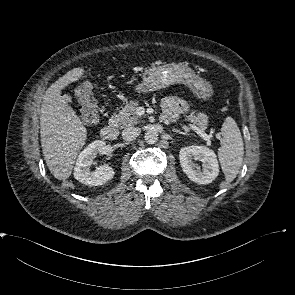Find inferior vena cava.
Wrapping results in <instances>:
<instances>
[{
	"label": "inferior vena cava",
	"mask_w": 295,
	"mask_h": 295,
	"mask_svg": "<svg viewBox=\"0 0 295 295\" xmlns=\"http://www.w3.org/2000/svg\"><path fill=\"white\" fill-rule=\"evenodd\" d=\"M141 133L140 128L138 127H128L123 130L122 137L126 141L135 140Z\"/></svg>",
	"instance_id": "602c4592"
}]
</instances>
